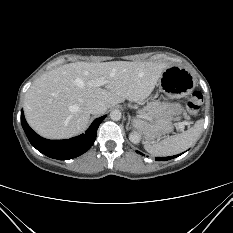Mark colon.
Returning a JSON list of instances; mask_svg holds the SVG:
<instances>
[{
  "mask_svg": "<svg viewBox=\"0 0 233 233\" xmlns=\"http://www.w3.org/2000/svg\"><path fill=\"white\" fill-rule=\"evenodd\" d=\"M203 103V95L199 91H194L186 101L187 108L192 115H196L198 110Z\"/></svg>",
  "mask_w": 233,
  "mask_h": 233,
  "instance_id": "obj_1",
  "label": "colon"
}]
</instances>
